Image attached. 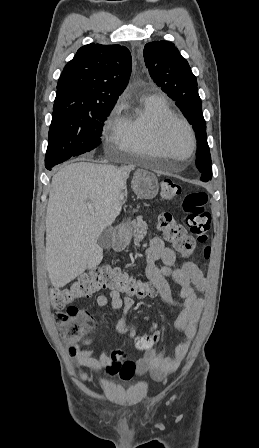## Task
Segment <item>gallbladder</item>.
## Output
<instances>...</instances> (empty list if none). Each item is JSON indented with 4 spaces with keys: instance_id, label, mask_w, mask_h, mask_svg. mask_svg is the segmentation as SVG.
<instances>
[{
    "instance_id": "bac80fb5",
    "label": "gallbladder",
    "mask_w": 259,
    "mask_h": 448,
    "mask_svg": "<svg viewBox=\"0 0 259 448\" xmlns=\"http://www.w3.org/2000/svg\"><path fill=\"white\" fill-rule=\"evenodd\" d=\"M112 232L113 228H109V230H104V232H102L97 240L100 248H111L114 240Z\"/></svg>"
}]
</instances>
